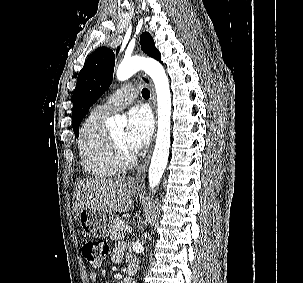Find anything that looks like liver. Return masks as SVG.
I'll list each match as a JSON object with an SVG mask.
<instances>
[{
  "instance_id": "6515ba94",
  "label": "liver",
  "mask_w": 303,
  "mask_h": 283,
  "mask_svg": "<svg viewBox=\"0 0 303 283\" xmlns=\"http://www.w3.org/2000/svg\"><path fill=\"white\" fill-rule=\"evenodd\" d=\"M133 187L131 177L79 181L73 195L75 219L84 208L108 213L127 212L132 206Z\"/></svg>"
}]
</instances>
